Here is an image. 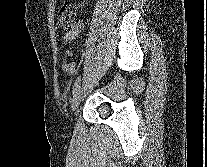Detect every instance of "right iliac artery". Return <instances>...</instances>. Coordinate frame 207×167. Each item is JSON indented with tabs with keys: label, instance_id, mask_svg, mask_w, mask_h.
<instances>
[{
	"label": "right iliac artery",
	"instance_id": "right-iliac-artery-1",
	"mask_svg": "<svg viewBox=\"0 0 207 167\" xmlns=\"http://www.w3.org/2000/svg\"><path fill=\"white\" fill-rule=\"evenodd\" d=\"M80 81H81V77L79 76L74 83L72 94H74L77 91V89L80 87Z\"/></svg>",
	"mask_w": 207,
	"mask_h": 167
}]
</instances>
